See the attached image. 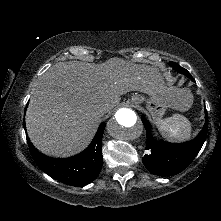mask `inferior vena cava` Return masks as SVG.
Masks as SVG:
<instances>
[{
  "instance_id": "1",
  "label": "inferior vena cava",
  "mask_w": 221,
  "mask_h": 221,
  "mask_svg": "<svg viewBox=\"0 0 221 221\" xmlns=\"http://www.w3.org/2000/svg\"><path fill=\"white\" fill-rule=\"evenodd\" d=\"M99 112H100V114L103 115L104 113L107 112V107H105V106L101 107V108L99 109Z\"/></svg>"
}]
</instances>
